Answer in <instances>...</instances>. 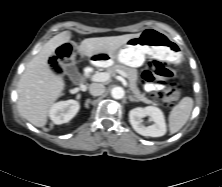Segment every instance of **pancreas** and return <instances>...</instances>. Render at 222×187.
Here are the masks:
<instances>
[{
	"label": "pancreas",
	"instance_id": "pancreas-1",
	"mask_svg": "<svg viewBox=\"0 0 222 187\" xmlns=\"http://www.w3.org/2000/svg\"><path fill=\"white\" fill-rule=\"evenodd\" d=\"M118 71H123L127 74V78L129 80V86L130 89L132 91V93L134 94V97L138 100V101H142L146 104H153L156 105V103H154L153 101L147 99L144 94H141L140 90L137 87V80H138V72L136 69L134 68H129L127 66L121 65V64H115L111 67H109L107 69V72L109 74H113L115 72Z\"/></svg>",
	"mask_w": 222,
	"mask_h": 187
}]
</instances>
